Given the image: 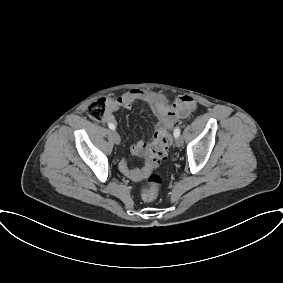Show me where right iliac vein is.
<instances>
[{
	"label": "right iliac vein",
	"instance_id": "1",
	"mask_svg": "<svg viewBox=\"0 0 283 283\" xmlns=\"http://www.w3.org/2000/svg\"><path fill=\"white\" fill-rule=\"evenodd\" d=\"M112 139L116 145L120 144L121 139H120L119 134L116 131L112 132Z\"/></svg>",
	"mask_w": 283,
	"mask_h": 283
}]
</instances>
